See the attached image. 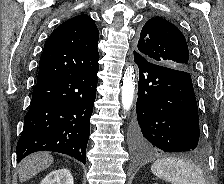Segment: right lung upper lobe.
<instances>
[{"label":"right lung upper lobe","mask_w":224,"mask_h":184,"mask_svg":"<svg viewBox=\"0 0 224 184\" xmlns=\"http://www.w3.org/2000/svg\"><path fill=\"white\" fill-rule=\"evenodd\" d=\"M98 38V28L87 15H78L60 24L44 45L37 82L98 66Z\"/></svg>","instance_id":"cb5924a9"}]
</instances>
